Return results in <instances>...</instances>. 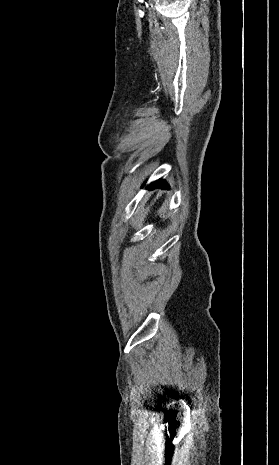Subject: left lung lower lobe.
<instances>
[{
	"mask_svg": "<svg viewBox=\"0 0 279 465\" xmlns=\"http://www.w3.org/2000/svg\"><path fill=\"white\" fill-rule=\"evenodd\" d=\"M148 188L149 189H155V188L166 189V188H169V185L165 181L159 179V180L155 181L154 183L150 184L148 186Z\"/></svg>",
	"mask_w": 279,
	"mask_h": 465,
	"instance_id": "left-lung-lower-lobe-1",
	"label": "left lung lower lobe"
}]
</instances>
